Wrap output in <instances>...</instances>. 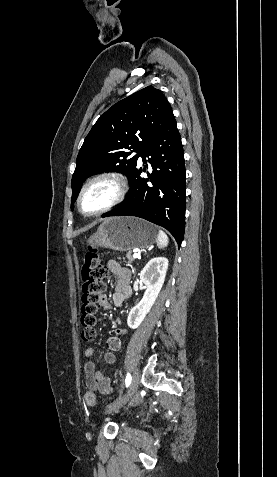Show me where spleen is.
<instances>
[{
  "label": "spleen",
  "instance_id": "spleen-1",
  "mask_svg": "<svg viewBox=\"0 0 277 477\" xmlns=\"http://www.w3.org/2000/svg\"><path fill=\"white\" fill-rule=\"evenodd\" d=\"M169 243L168 236L163 230H159L157 237V246L159 248H165Z\"/></svg>",
  "mask_w": 277,
  "mask_h": 477
}]
</instances>
